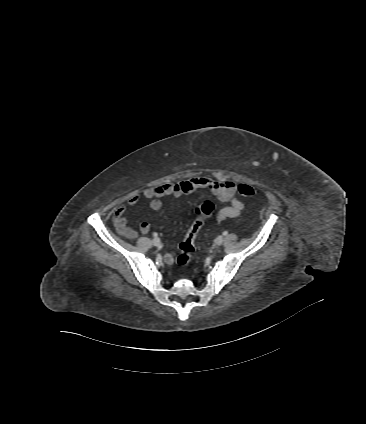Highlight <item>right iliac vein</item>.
I'll list each match as a JSON object with an SVG mask.
<instances>
[{"label": "right iliac vein", "mask_w": 366, "mask_h": 424, "mask_svg": "<svg viewBox=\"0 0 366 424\" xmlns=\"http://www.w3.org/2000/svg\"><path fill=\"white\" fill-rule=\"evenodd\" d=\"M153 244H154V246H159L160 244H161V241H160V239L159 238H154L153 239Z\"/></svg>", "instance_id": "obj_1"}]
</instances>
